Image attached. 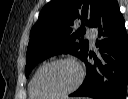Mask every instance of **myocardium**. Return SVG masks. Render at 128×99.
<instances>
[{
    "label": "myocardium",
    "mask_w": 128,
    "mask_h": 99,
    "mask_svg": "<svg viewBox=\"0 0 128 99\" xmlns=\"http://www.w3.org/2000/svg\"><path fill=\"white\" fill-rule=\"evenodd\" d=\"M58 63H70V64L74 65L75 68L78 71L77 81L75 82V84L72 87H70L69 89H67V90H65L61 93L52 94V95H45V94L38 93L37 90H36V80H37V77H38L39 73L43 69H45L46 67L54 65V64H58ZM84 78H85V73H84L83 67L81 66V64L77 60H75L74 58H70V57L57 58V59L51 60V61L41 65L37 69V71L35 72V74L32 78L30 87H31L32 93L36 97H44V98H47V99H57V98H63V97L69 96L70 94L75 92L82 85V83L84 81Z\"/></svg>",
    "instance_id": "obj_1"
}]
</instances>
